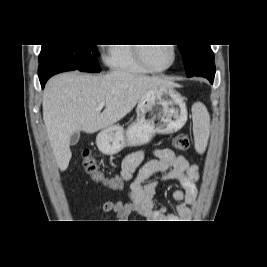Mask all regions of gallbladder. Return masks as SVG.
Segmentation results:
<instances>
[{"mask_svg": "<svg viewBox=\"0 0 267 267\" xmlns=\"http://www.w3.org/2000/svg\"><path fill=\"white\" fill-rule=\"evenodd\" d=\"M79 138H80V134L79 132H75L71 135V138H70V145H76L79 141Z\"/></svg>", "mask_w": 267, "mask_h": 267, "instance_id": "bac80fb5", "label": "gallbladder"}]
</instances>
